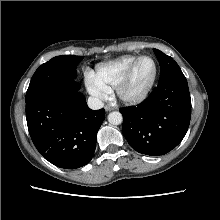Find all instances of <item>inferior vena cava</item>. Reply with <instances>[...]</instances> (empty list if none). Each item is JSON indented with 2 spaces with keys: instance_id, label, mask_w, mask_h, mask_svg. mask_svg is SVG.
I'll return each mask as SVG.
<instances>
[{
  "instance_id": "602c4592",
  "label": "inferior vena cava",
  "mask_w": 220,
  "mask_h": 220,
  "mask_svg": "<svg viewBox=\"0 0 220 220\" xmlns=\"http://www.w3.org/2000/svg\"><path fill=\"white\" fill-rule=\"evenodd\" d=\"M87 103H88L89 108L93 110L101 109L104 106L103 101L95 97H89Z\"/></svg>"
}]
</instances>
